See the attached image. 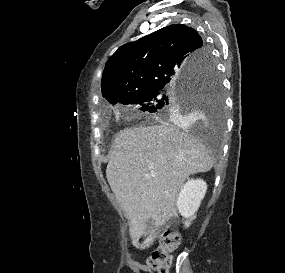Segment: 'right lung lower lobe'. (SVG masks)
Returning <instances> with one entry per match:
<instances>
[{
    "label": "right lung lower lobe",
    "instance_id": "obj_1",
    "mask_svg": "<svg viewBox=\"0 0 285 273\" xmlns=\"http://www.w3.org/2000/svg\"><path fill=\"white\" fill-rule=\"evenodd\" d=\"M206 65V62H202V64L200 65V69L203 68ZM181 84H188L187 82V77L183 78L180 82Z\"/></svg>",
    "mask_w": 285,
    "mask_h": 273
}]
</instances>
